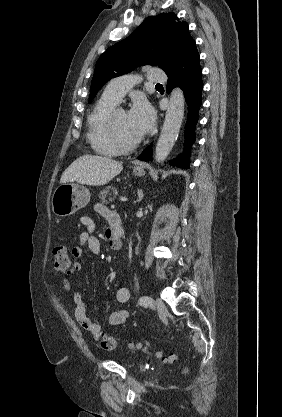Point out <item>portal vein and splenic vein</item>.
Segmentation results:
<instances>
[{
  "label": "portal vein and splenic vein",
  "mask_w": 282,
  "mask_h": 417,
  "mask_svg": "<svg viewBox=\"0 0 282 417\" xmlns=\"http://www.w3.org/2000/svg\"><path fill=\"white\" fill-rule=\"evenodd\" d=\"M118 199L120 200V202H121V203H125V202H126V200H128V198H125V196H124V195H119V196H118Z\"/></svg>",
  "instance_id": "obj_1"
}]
</instances>
